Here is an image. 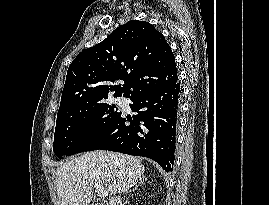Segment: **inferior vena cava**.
Segmentation results:
<instances>
[{
  "instance_id": "obj_1",
  "label": "inferior vena cava",
  "mask_w": 269,
  "mask_h": 205,
  "mask_svg": "<svg viewBox=\"0 0 269 205\" xmlns=\"http://www.w3.org/2000/svg\"><path fill=\"white\" fill-rule=\"evenodd\" d=\"M118 194H120V192ZM121 201L122 200H121L120 195H117L110 198L109 205H121Z\"/></svg>"
}]
</instances>
